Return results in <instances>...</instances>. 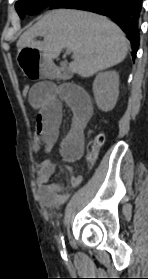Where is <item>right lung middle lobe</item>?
<instances>
[{
	"instance_id": "obj_1",
	"label": "right lung middle lobe",
	"mask_w": 148,
	"mask_h": 279,
	"mask_svg": "<svg viewBox=\"0 0 148 279\" xmlns=\"http://www.w3.org/2000/svg\"><path fill=\"white\" fill-rule=\"evenodd\" d=\"M57 1L58 0H19L15 7L20 18H24L25 15H33Z\"/></svg>"
}]
</instances>
